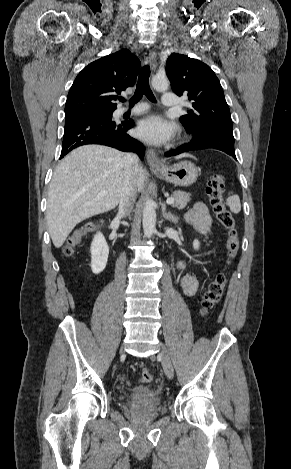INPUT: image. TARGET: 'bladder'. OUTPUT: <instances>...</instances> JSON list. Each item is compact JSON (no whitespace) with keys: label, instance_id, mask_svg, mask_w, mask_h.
Here are the masks:
<instances>
[{"label":"bladder","instance_id":"1","mask_svg":"<svg viewBox=\"0 0 291 469\" xmlns=\"http://www.w3.org/2000/svg\"><path fill=\"white\" fill-rule=\"evenodd\" d=\"M126 400L131 406L156 408L162 403V396L152 387L137 386L127 393Z\"/></svg>","mask_w":291,"mask_h":469}]
</instances>
